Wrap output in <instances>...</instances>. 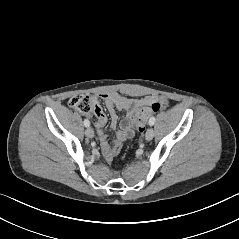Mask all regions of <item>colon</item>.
<instances>
[{"mask_svg":"<svg viewBox=\"0 0 239 239\" xmlns=\"http://www.w3.org/2000/svg\"><path fill=\"white\" fill-rule=\"evenodd\" d=\"M69 105L81 113H90L94 109V105L90 97L85 95H77L70 99ZM161 103L154 101L150 104L140 107L135 116V123L139 130H142L149 115L160 111Z\"/></svg>","mask_w":239,"mask_h":239,"instance_id":"5ec220e1","label":"colon"}]
</instances>
